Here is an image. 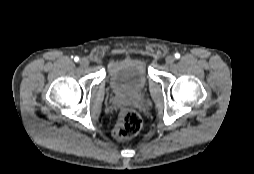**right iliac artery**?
<instances>
[{"instance_id": "1", "label": "right iliac artery", "mask_w": 254, "mask_h": 174, "mask_svg": "<svg viewBox=\"0 0 254 174\" xmlns=\"http://www.w3.org/2000/svg\"><path fill=\"white\" fill-rule=\"evenodd\" d=\"M74 61H75V62H78V61H79V57L76 56V57L74 58Z\"/></svg>"}]
</instances>
